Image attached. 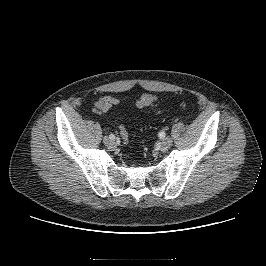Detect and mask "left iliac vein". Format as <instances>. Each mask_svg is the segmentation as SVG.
<instances>
[{
    "label": "left iliac vein",
    "mask_w": 266,
    "mask_h": 266,
    "mask_svg": "<svg viewBox=\"0 0 266 266\" xmlns=\"http://www.w3.org/2000/svg\"><path fill=\"white\" fill-rule=\"evenodd\" d=\"M172 145V139L170 137H166L163 141H162V146L164 148H168Z\"/></svg>",
    "instance_id": "4c4485c4"
}]
</instances>
